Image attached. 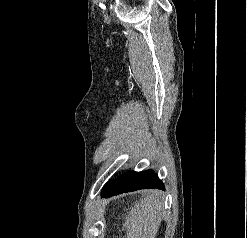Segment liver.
Listing matches in <instances>:
<instances>
[{
    "label": "liver",
    "mask_w": 247,
    "mask_h": 238,
    "mask_svg": "<svg viewBox=\"0 0 247 238\" xmlns=\"http://www.w3.org/2000/svg\"><path fill=\"white\" fill-rule=\"evenodd\" d=\"M161 192L149 190L144 199L135 202L126 215L123 226L127 229L126 238H155L162 221L163 208Z\"/></svg>",
    "instance_id": "liver-1"
}]
</instances>
